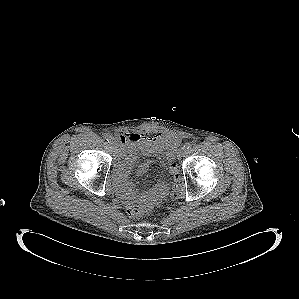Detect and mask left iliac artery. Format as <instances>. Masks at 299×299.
Wrapping results in <instances>:
<instances>
[{
    "label": "left iliac artery",
    "mask_w": 299,
    "mask_h": 299,
    "mask_svg": "<svg viewBox=\"0 0 299 299\" xmlns=\"http://www.w3.org/2000/svg\"><path fill=\"white\" fill-rule=\"evenodd\" d=\"M183 148H185V149H189V148H191V143H185V145L183 146Z\"/></svg>",
    "instance_id": "obj_1"
}]
</instances>
